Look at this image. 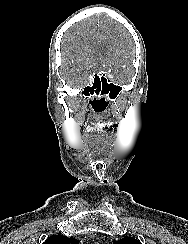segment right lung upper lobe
I'll use <instances>...</instances> for the list:
<instances>
[{
    "label": "right lung upper lobe",
    "instance_id": "right-lung-upper-lobe-1",
    "mask_svg": "<svg viewBox=\"0 0 188 244\" xmlns=\"http://www.w3.org/2000/svg\"><path fill=\"white\" fill-rule=\"evenodd\" d=\"M43 244H79L75 238L63 235H52Z\"/></svg>",
    "mask_w": 188,
    "mask_h": 244
}]
</instances>
